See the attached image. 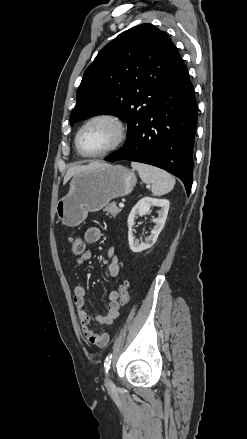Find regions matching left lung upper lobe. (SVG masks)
<instances>
[{"instance_id": "5c2ea615", "label": "left lung upper lobe", "mask_w": 247, "mask_h": 439, "mask_svg": "<svg viewBox=\"0 0 247 439\" xmlns=\"http://www.w3.org/2000/svg\"><path fill=\"white\" fill-rule=\"evenodd\" d=\"M186 68L164 31L151 24L135 26L108 43L85 70L70 124L114 115L127 122L129 139L159 94Z\"/></svg>"}]
</instances>
